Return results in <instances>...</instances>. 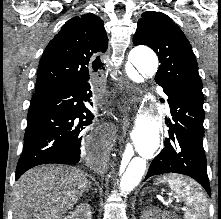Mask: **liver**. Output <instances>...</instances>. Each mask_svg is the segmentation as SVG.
<instances>
[{
	"label": "liver",
	"instance_id": "obj_1",
	"mask_svg": "<svg viewBox=\"0 0 221 219\" xmlns=\"http://www.w3.org/2000/svg\"><path fill=\"white\" fill-rule=\"evenodd\" d=\"M88 184L87 175L75 167H35L15 184L13 219H62Z\"/></svg>",
	"mask_w": 221,
	"mask_h": 219
}]
</instances>
